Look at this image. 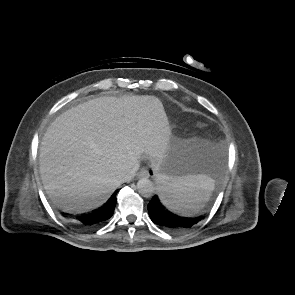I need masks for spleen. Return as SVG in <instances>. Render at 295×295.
Returning <instances> with one entry per match:
<instances>
[{
	"label": "spleen",
	"instance_id": "spleen-1",
	"mask_svg": "<svg viewBox=\"0 0 295 295\" xmlns=\"http://www.w3.org/2000/svg\"><path fill=\"white\" fill-rule=\"evenodd\" d=\"M156 179L163 205L182 216L198 213L214 189V180L205 174L184 177L158 175Z\"/></svg>",
	"mask_w": 295,
	"mask_h": 295
}]
</instances>
